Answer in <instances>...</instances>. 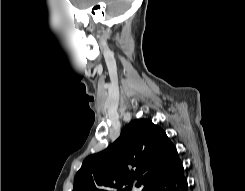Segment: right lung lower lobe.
<instances>
[{
	"mask_svg": "<svg viewBox=\"0 0 245 191\" xmlns=\"http://www.w3.org/2000/svg\"><path fill=\"white\" fill-rule=\"evenodd\" d=\"M150 191H188L183 167L179 166L173 173L160 179Z\"/></svg>",
	"mask_w": 245,
	"mask_h": 191,
	"instance_id": "right-lung-lower-lobe-1",
	"label": "right lung lower lobe"
}]
</instances>
